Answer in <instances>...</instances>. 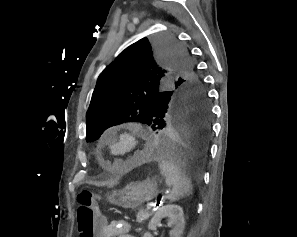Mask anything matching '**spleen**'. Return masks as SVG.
Here are the masks:
<instances>
[{
    "label": "spleen",
    "instance_id": "obj_1",
    "mask_svg": "<svg viewBox=\"0 0 297 237\" xmlns=\"http://www.w3.org/2000/svg\"><path fill=\"white\" fill-rule=\"evenodd\" d=\"M159 168L161 174L165 177L166 184L172 187L168 196L171 202L192 194L193 186L191 180L174 161L160 159Z\"/></svg>",
    "mask_w": 297,
    "mask_h": 237
}]
</instances>
